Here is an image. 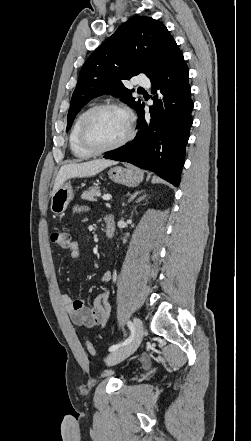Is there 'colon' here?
Segmentation results:
<instances>
[{"label":"colon","mask_w":251,"mask_h":441,"mask_svg":"<svg viewBox=\"0 0 251 441\" xmlns=\"http://www.w3.org/2000/svg\"><path fill=\"white\" fill-rule=\"evenodd\" d=\"M50 240L54 245L63 249L67 248L71 242L70 234L64 230L52 231L50 234ZM86 347L91 355L96 353L95 346L91 342H87Z\"/></svg>","instance_id":"obj_1"}]
</instances>
